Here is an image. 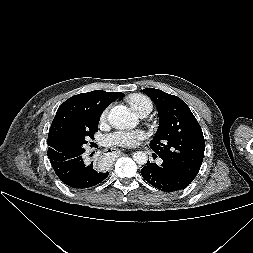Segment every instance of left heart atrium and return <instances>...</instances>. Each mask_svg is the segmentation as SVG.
<instances>
[{
	"instance_id": "39dd6f15",
	"label": "left heart atrium",
	"mask_w": 253,
	"mask_h": 253,
	"mask_svg": "<svg viewBox=\"0 0 253 253\" xmlns=\"http://www.w3.org/2000/svg\"><path fill=\"white\" fill-rule=\"evenodd\" d=\"M146 137L147 133L142 129L120 130L107 135L104 142L108 146L133 147Z\"/></svg>"
}]
</instances>
